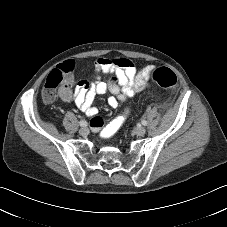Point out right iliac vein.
<instances>
[{"label":"right iliac vein","instance_id":"63e3f726","mask_svg":"<svg viewBox=\"0 0 227 227\" xmlns=\"http://www.w3.org/2000/svg\"><path fill=\"white\" fill-rule=\"evenodd\" d=\"M79 133H80L82 136H86V135H88L89 130H88L87 127H82V128H80Z\"/></svg>","mask_w":227,"mask_h":227}]
</instances>
